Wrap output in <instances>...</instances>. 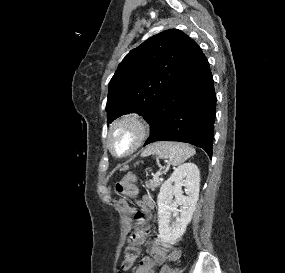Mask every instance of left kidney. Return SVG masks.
Here are the masks:
<instances>
[{"label": "left kidney", "mask_w": 285, "mask_h": 273, "mask_svg": "<svg viewBox=\"0 0 285 273\" xmlns=\"http://www.w3.org/2000/svg\"><path fill=\"white\" fill-rule=\"evenodd\" d=\"M182 186L187 188L183 195ZM200 171L193 163L179 166L164 182L157 198L159 238L163 243L173 244L184 234L196 209L199 198ZM173 196L175 199L172 200ZM180 206V210L177 207ZM175 222L171 223V217Z\"/></svg>", "instance_id": "1"}]
</instances>
